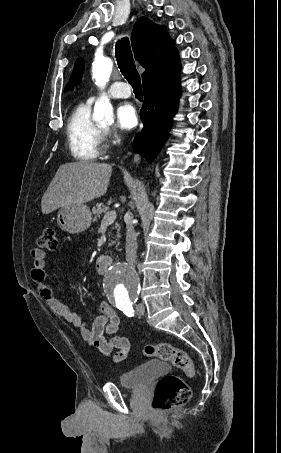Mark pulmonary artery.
<instances>
[{"label":"pulmonary artery","instance_id":"e3ab8cb5","mask_svg":"<svg viewBox=\"0 0 281 453\" xmlns=\"http://www.w3.org/2000/svg\"><path fill=\"white\" fill-rule=\"evenodd\" d=\"M107 94L113 98H126L130 96V91L126 83L117 81L110 86ZM90 100L94 101L95 97H90Z\"/></svg>","mask_w":281,"mask_h":453}]
</instances>
